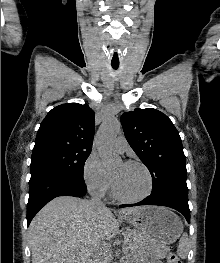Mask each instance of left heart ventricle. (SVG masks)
I'll return each instance as SVG.
<instances>
[{
    "label": "left heart ventricle",
    "mask_w": 220,
    "mask_h": 263,
    "mask_svg": "<svg viewBox=\"0 0 220 263\" xmlns=\"http://www.w3.org/2000/svg\"><path fill=\"white\" fill-rule=\"evenodd\" d=\"M111 174L118 192L125 197H139L148 189V177L140 166L120 162L111 170Z\"/></svg>",
    "instance_id": "left-heart-ventricle-1"
}]
</instances>
